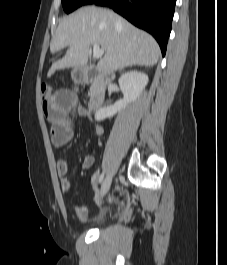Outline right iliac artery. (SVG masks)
Here are the masks:
<instances>
[{"instance_id": "right-iliac-artery-1", "label": "right iliac artery", "mask_w": 227, "mask_h": 265, "mask_svg": "<svg viewBox=\"0 0 227 265\" xmlns=\"http://www.w3.org/2000/svg\"><path fill=\"white\" fill-rule=\"evenodd\" d=\"M103 179H104V174L102 173L99 177V183H102L103 182Z\"/></svg>"}]
</instances>
